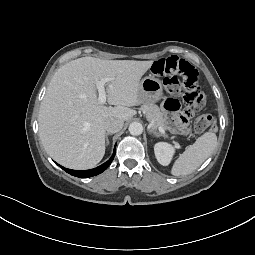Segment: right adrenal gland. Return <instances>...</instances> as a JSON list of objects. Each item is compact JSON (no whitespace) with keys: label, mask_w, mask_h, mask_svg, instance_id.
<instances>
[{"label":"right adrenal gland","mask_w":255,"mask_h":255,"mask_svg":"<svg viewBox=\"0 0 255 255\" xmlns=\"http://www.w3.org/2000/svg\"><path fill=\"white\" fill-rule=\"evenodd\" d=\"M110 135V133H106V144L108 145L109 144V139H108V136Z\"/></svg>","instance_id":"1"}]
</instances>
